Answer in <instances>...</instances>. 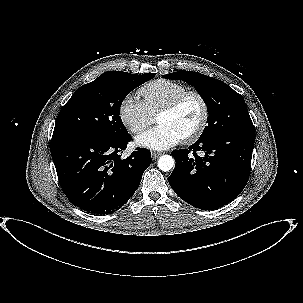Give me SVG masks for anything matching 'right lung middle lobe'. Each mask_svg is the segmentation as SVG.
Instances as JSON below:
<instances>
[{"label":"right lung middle lobe","mask_w":303,"mask_h":303,"mask_svg":"<svg viewBox=\"0 0 303 303\" xmlns=\"http://www.w3.org/2000/svg\"><path fill=\"white\" fill-rule=\"evenodd\" d=\"M155 74L108 71L78 88L62 107L52 138L85 136L117 139L128 134L120 114L124 98Z\"/></svg>","instance_id":"right-lung-middle-lobe-1"}]
</instances>
